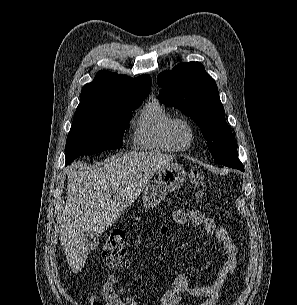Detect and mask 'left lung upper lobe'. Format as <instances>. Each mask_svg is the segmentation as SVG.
<instances>
[{
  "mask_svg": "<svg viewBox=\"0 0 297 305\" xmlns=\"http://www.w3.org/2000/svg\"><path fill=\"white\" fill-rule=\"evenodd\" d=\"M163 87L158 99L189 115L202 130L214 162L244 170L235 141L225 120L215 80L199 62L181 63L158 75Z\"/></svg>",
  "mask_w": 297,
  "mask_h": 305,
  "instance_id": "obj_1",
  "label": "left lung upper lobe"
}]
</instances>
